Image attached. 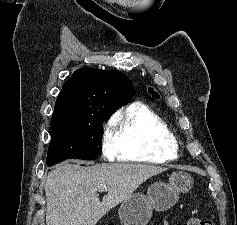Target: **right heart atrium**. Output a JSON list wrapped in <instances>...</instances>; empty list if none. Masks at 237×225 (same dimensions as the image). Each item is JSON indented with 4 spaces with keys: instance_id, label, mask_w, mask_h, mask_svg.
I'll list each match as a JSON object with an SVG mask.
<instances>
[{
    "instance_id": "right-heart-atrium-1",
    "label": "right heart atrium",
    "mask_w": 237,
    "mask_h": 225,
    "mask_svg": "<svg viewBox=\"0 0 237 225\" xmlns=\"http://www.w3.org/2000/svg\"><path fill=\"white\" fill-rule=\"evenodd\" d=\"M101 147L103 156L109 160H112L117 149L115 118L108 120L103 126Z\"/></svg>"
}]
</instances>
